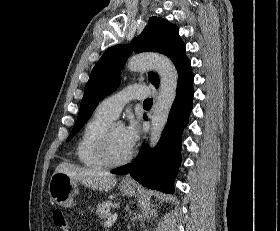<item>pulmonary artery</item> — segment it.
I'll use <instances>...</instances> for the list:
<instances>
[{
	"instance_id": "obj_1",
	"label": "pulmonary artery",
	"mask_w": 280,
	"mask_h": 231,
	"mask_svg": "<svg viewBox=\"0 0 280 231\" xmlns=\"http://www.w3.org/2000/svg\"><path fill=\"white\" fill-rule=\"evenodd\" d=\"M149 94L147 86L133 84L103 100L97 107V111L116 118L127 103L132 100H144Z\"/></svg>"
}]
</instances>
